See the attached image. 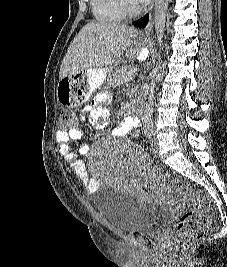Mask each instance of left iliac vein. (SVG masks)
<instances>
[{
  "label": "left iliac vein",
  "mask_w": 227,
  "mask_h": 267,
  "mask_svg": "<svg viewBox=\"0 0 227 267\" xmlns=\"http://www.w3.org/2000/svg\"><path fill=\"white\" fill-rule=\"evenodd\" d=\"M152 151L155 155H159V146L156 138L151 139Z\"/></svg>",
  "instance_id": "left-iliac-vein-1"
}]
</instances>
